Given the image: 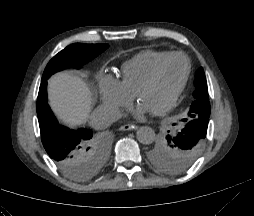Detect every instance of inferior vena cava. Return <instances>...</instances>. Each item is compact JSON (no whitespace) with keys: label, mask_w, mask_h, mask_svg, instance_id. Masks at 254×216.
<instances>
[{"label":"inferior vena cava","mask_w":254,"mask_h":216,"mask_svg":"<svg viewBox=\"0 0 254 216\" xmlns=\"http://www.w3.org/2000/svg\"><path fill=\"white\" fill-rule=\"evenodd\" d=\"M121 118L120 111L111 106L100 105L90 115V125L94 129H105Z\"/></svg>","instance_id":"obj_1"}]
</instances>
